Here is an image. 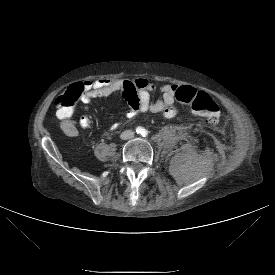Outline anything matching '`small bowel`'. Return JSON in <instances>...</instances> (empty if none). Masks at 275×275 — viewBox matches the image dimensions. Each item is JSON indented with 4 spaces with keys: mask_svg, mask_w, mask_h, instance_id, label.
Wrapping results in <instances>:
<instances>
[{
    "mask_svg": "<svg viewBox=\"0 0 275 275\" xmlns=\"http://www.w3.org/2000/svg\"><path fill=\"white\" fill-rule=\"evenodd\" d=\"M81 93V100L86 105L96 98L107 97L117 91H123V98L129 103L130 109L122 112L118 120L112 124L111 129L118 128L126 119L134 117L138 113L152 112L163 113L166 118L177 115L178 109L175 106L176 92L179 85L174 83L163 84L159 88L160 97L153 99L156 86L144 78L134 80H123L115 78H99L85 80L75 84ZM58 115V113H57ZM57 121V128L67 137H79L91 123V117L83 115L80 121L69 117H60Z\"/></svg>",
    "mask_w": 275,
    "mask_h": 275,
    "instance_id": "1",
    "label": "small bowel"
}]
</instances>
